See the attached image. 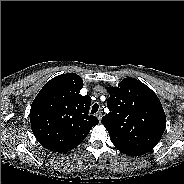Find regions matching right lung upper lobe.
Returning a JSON list of instances; mask_svg holds the SVG:
<instances>
[{"mask_svg": "<svg viewBox=\"0 0 184 184\" xmlns=\"http://www.w3.org/2000/svg\"><path fill=\"white\" fill-rule=\"evenodd\" d=\"M82 78L67 73L49 80L32 102L30 123L46 149L67 152L77 147L99 120L89 115L91 98L80 95Z\"/></svg>", "mask_w": 184, "mask_h": 184, "instance_id": "1", "label": "right lung upper lobe"}]
</instances>
